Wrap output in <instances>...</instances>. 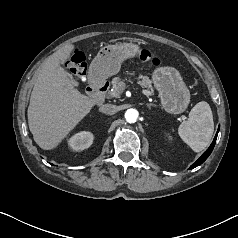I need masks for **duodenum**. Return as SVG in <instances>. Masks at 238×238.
<instances>
[{
  "mask_svg": "<svg viewBox=\"0 0 238 238\" xmlns=\"http://www.w3.org/2000/svg\"><path fill=\"white\" fill-rule=\"evenodd\" d=\"M108 86L109 84L105 79L93 74L90 78L87 91L92 99L96 102H100L104 93L107 91Z\"/></svg>",
  "mask_w": 238,
  "mask_h": 238,
  "instance_id": "410a0bca",
  "label": "duodenum"
}]
</instances>
